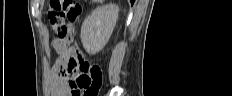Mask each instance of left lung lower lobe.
Returning <instances> with one entry per match:
<instances>
[{"instance_id":"1","label":"left lung lower lobe","mask_w":232,"mask_h":96,"mask_svg":"<svg viewBox=\"0 0 232 96\" xmlns=\"http://www.w3.org/2000/svg\"><path fill=\"white\" fill-rule=\"evenodd\" d=\"M131 1V4H133L134 3V0H130Z\"/></svg>"}]
</instances>
